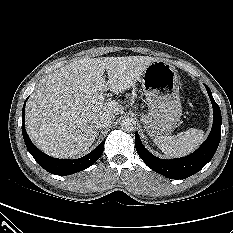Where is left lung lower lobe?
Here are the masks:
<instances>
[{
    "mask_svg": "<svg viewBox=\"0 0 233 233\" xmlns=\"http://www.w3.org/2000/svg\"><path fill=\"white\" fill-rule=\"evenodd\" d=\"M213 107V126L206 141L192 154L164 160L151 154L142 144L138 133L135 134L137 153L144 163L155 172L171 179H185L201 170L214 156L221 139V111L214 101L210 88L205 85Z\"/></svg>",
    "mask_w": 233,
    "mask_h": 233,
    "instance_id": "left-lung-lower-lobe-1",
    "label": "left lung lower lobe"
}]
</instances>
